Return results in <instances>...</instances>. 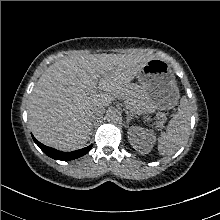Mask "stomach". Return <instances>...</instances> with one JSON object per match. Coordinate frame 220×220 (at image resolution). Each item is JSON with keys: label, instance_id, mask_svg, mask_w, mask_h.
<instances>
[{"label": "stomach", "instance_id": "1", "mask_svg": "<svg viewBox=\"0 0 220 220\" xmlns=\"http://www.w3.org/2000/svg\"><path fill=\"white\" fill-rule=\"evenodd\" d=\"M140 99L136 111L147 117L177 105L179 89L169 64L159 58L149 60L137 75Z\"/></svg>", "mask_w": 220, "mask_h": 220}]
</instances>
